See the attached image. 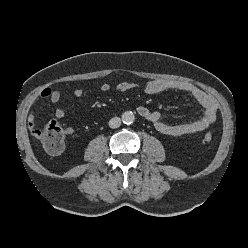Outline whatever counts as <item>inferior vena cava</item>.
<instances>
[{
  "mask_svg": "<svg viewBox=\"0 0 248 248\" xmlns=\"http://www.w3.org/2000/svg\"><path fill=\"white\" fill-rule=\"evenodd\" d=\"M121 125V119L119 117H113L109 121V126L112 129L118 128Z\"/></svg>",
  "mask_w": 248,
  "mask_h": 248,
  "instance_id": "602c4592",
  "label": "inferior vena cava"
}]
</instances>
